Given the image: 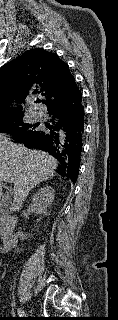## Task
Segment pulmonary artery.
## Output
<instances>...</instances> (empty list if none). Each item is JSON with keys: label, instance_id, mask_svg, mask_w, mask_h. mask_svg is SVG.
Listing matches in <instances>:
<instances>
[{"label": "pulmonary artery", "instance_id": "1", "mask_svg": "<svg viewBox=\"0 0 118 320\" xmlns=\"http://www.w3.org/2000/svg\"><path fill=\"white\" fill-rule=\"evenodd\" d=\"M34 114L36 115V116H38V115H40V112L39 111H34Z\"/></svg>", "mask_w": 118, "mask_h": 320}]
</instances>
